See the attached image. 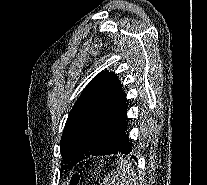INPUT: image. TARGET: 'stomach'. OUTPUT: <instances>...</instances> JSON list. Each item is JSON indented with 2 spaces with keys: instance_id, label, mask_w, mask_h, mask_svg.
Instances as JSON below:
<instances>
[{
  "instance_id": "1",
  "label": "stomach",
  "mask_w": 207,
  "mask_h": 185,
  "mask_svg": "<svg viewBox=\"0 0 207 185\" xmlns=\"http://www.w3.org/2000/svg\"><path fill=\"white\" fill-rule=\"evenodd\" d=\"M78 181H79V180H78L77 175H74V176L71 178L69 185H78Z\"/></svg>"
}]
</instances>
